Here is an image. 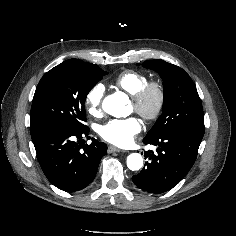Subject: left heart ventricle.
<instances>
[{
  "label": "left heart ventricle",
  "mask_w": 236,
  "mask_h": 236,
  "mask_svg": "<svg viewBox=\"0 0 236 236\" xmlns=\"http://www.w3.org/2000/svg\"><path fill=\"white\" fill-rule=\"evenodd\" d=\"M153 102H154V99L152 98L151 101H150V104L152 105ZM133 107H134V105H133Z\"/></svg>",
  "instance_id": "left-heart-ventricle-1"
}]
</instances>
